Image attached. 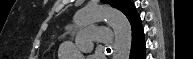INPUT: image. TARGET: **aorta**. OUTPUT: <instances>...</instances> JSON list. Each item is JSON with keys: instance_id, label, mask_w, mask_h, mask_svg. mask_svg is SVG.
I'll return each instance as SVG.
<instances>
[{"instance_id": "obj_1", "label": "aorta", "mask_w": 193, "mask_h": 59, "mask_svg": "<svg viewBox=\"0 0 193 59\" xmlns=\"http://www.w3.org/2000/svg\"><path fill=\"white\" fill-rule=\"evenodd\" d=\"M106 20L115 34L114 59H129L132 43V29L126 16L115 9L98 4H88L78 10L74 23L78 26ZM59 56L63 59H83V55L71 42L62 44Z\"/></svg>"}]
</instances>
